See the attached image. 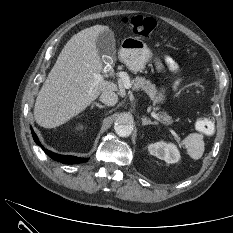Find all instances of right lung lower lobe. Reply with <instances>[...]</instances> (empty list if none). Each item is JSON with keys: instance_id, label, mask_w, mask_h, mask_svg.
I'll return each mask as SVG.
<instances>
[{"instance_id": "obj_1", "label": "right lung lower lobe", "mask_w": 233, "mask_h": 233, "mask_svg": "<svg viewBox=\"0 0 233 233\" xmlns=\"http://www.w3.org/2000/svg\"><path fill=\"white\" fill-rule=\"evenodd\" d=\"M32 131V136L34 141L36 142L37 145H39L40 147H42V145L40 144L38 137L36 136V134L34 133L33 129L31 128ZM44 152L52 159L65 163V164H76V163H82V162H86L88 159L86 158H78L75 156H67V155H60V154H56L54 152L48 151V150H44Z\"/></svg>"}]
</instances>
